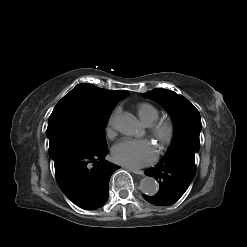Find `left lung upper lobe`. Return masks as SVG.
<instances>
[{"mask_svg":"<svg viewBox=\"0 0 247 247\" xmlns=\"http://www.w3.org/2000/svg\"><path fill=\"white\" fill-rule=\"evenodd\" d=\"M144 97L160 101L174 121V137L167 154L178 150L198 152L202 123L198 110L183 96L166 89H153Z\"/></svg>","mask_w":247,"mask_h":247,"instance_id":"1","label":"left lung upper lobe"}]
</instances>
